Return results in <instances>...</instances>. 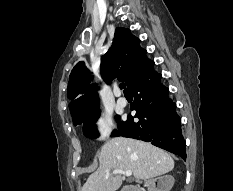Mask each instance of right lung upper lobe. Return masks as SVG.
I'll use <instances>...</instances> for the list:
<instances>
[{"label": "right lung upper lobe", "instance_id": "cb5924a9", "mask_svg": "<svg viewBox=\"0 0 233 191\" xmlns=\"http://www.w3.org/2000/svg\"><path fill=\"white\" fill-rule=\"evenodd\" d=\"M140 40L129 29L117 27L111 48L101 57L100 73L107 84L118 78L127 86L145 64L146 50L140 47ZM68 83V98L72 117L99 107L97 87L89 84V71L83 62L73 68Z\"/></svg>", "mask_w": 233, "mask_h": 191}]
</instances>
